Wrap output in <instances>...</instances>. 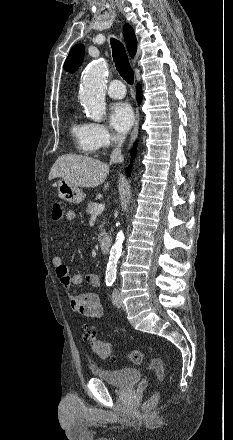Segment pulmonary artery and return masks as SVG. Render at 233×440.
Returning <instances> with one entry per match:
<instances>
[{
    "label": "pulmonary artery",
    "mask_w": 233,
    "mask_h": 440,
    "mask_svg": "<svg viewBox=\"0 0 233 440\" xmlns=\"http://www.w3.org/2000/svg\"><path fill=\"white\" fill-rule=\"evenodd\" d=\"M107 93L110 97L121 99L125 96V87L120 80H113L109 83Z\"/></svg>",
    "instance_id": "obj_1"
}]
</instances>
